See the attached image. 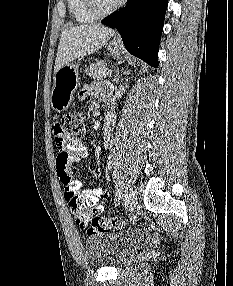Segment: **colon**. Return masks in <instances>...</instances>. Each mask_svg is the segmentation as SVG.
<instances>
[{"instance_id": "obj_1", "label": "colon", "mask_w": 233, "mask_h": 286, "mask_svg": "<svg viewBox=\"0 0 233 286\" xmlns=\"http://www.w3.org/2000/svg\"><path fill=\"white\" fill-rule=\"evenodd\" d=\"M58 128L60 132L65 131L74 135L82 133L84 129L83 112L75 110L66 113L62 117L61 123L58 124ZM66 198L74 216L88 226L87 233L89 236L101 235L125 225L122 219L100 217L95 211L84 208L79 196L73 192H68Z\"/></svg>"}]
</instances>
